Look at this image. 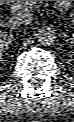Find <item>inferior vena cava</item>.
I'll use <instances>...</instances> for the list:
<instances>
[{
    "mask_svg": "<svg viewBox=\"0 0 74 122\" xmlns=\"http://www.w3.org/2000/svg\"><path fill=\"white\" fill-rule=\"evenodd\" d=\"M32 20V14L24 8H21L16 11L11 18V22L16 25H29L32 23Z\"/></svg>",
    "mask_w": 74,
    "mask_h": 122,
    "instance_id": "602c4592",
    "label": "inferior vena cava"
}]
</instances>
